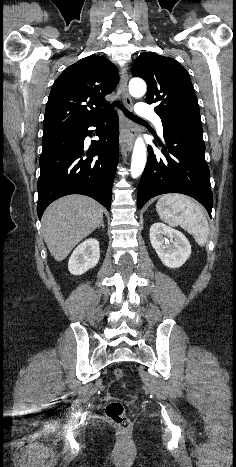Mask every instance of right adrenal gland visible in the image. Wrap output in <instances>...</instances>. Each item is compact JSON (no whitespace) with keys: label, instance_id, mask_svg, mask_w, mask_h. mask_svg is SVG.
<instances>
[{"label":"right adrenal gland","instance_id":"obj_1","mask_svg":"<svg viewBox=\"0 0 236 467\" xmlns=\"http://www.w3.org/2000/svg\"><path fill=\"white\" fill-rule=\"evenodd\" d=\"M99 227H102L103 229L105 228L103 221H102V223L100 224Z\"/></svg>","mask_w":236,"mask_h":467}]
</instances>
